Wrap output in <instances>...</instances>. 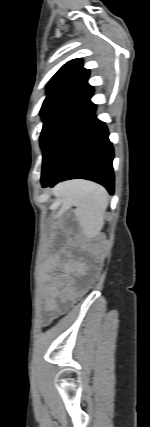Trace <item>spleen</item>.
I'll return each mask as SVG.
<instances>
[{
  "label": "spleen",
  "instance_id": "obj_1",
  "mask_svg": "<svg viewBox=\"0 0 150 427\" xmlns=\"http://www.w3.org/2000/svg\"><path fill=\"white\" fill-rule=\"evenodd\" d=\"M64 198L68 206H75V215L85 235L94 237L104 226L109 199L107 191L100 185L86 180H74L54 191Z\"/></svg>",
  "mask_w": 150,
  "mask_h": 427
}]
</instances>
